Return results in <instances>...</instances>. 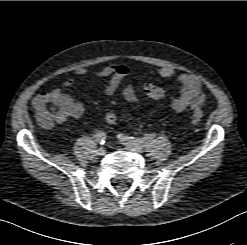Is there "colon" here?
Returning a JSON list of instances; mask_svg holds the SVG:
<instances>
[{
	"instance_id": "1",
	"label": "colon",
	"mask_w": 247,
	"mask_h": 245,
	"mask_svg": "<svg viewBox=\"0 0 247 245\" xmlns=\"http://www.w3.org/2000/svg\"><path fill=\"white\" fill-rule=\"evenodd\" d=\"M143 94L150 99H161L164 97V90L150 82L144 83L140 86ZM35 111L37 120L40 125L49 127L54 123H61L66 120L71 111V104L60 93H45L40 96L35 104ZM203 114L199 107L192 112V122L197 125L201 122ZM118 119L117 112L114 108H110L106 113V121L110 125L116 124Z\"/></svg>"
}]
</instances>
